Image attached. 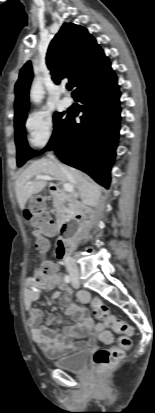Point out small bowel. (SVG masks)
<instances>
[{"label":"small bowel","instance_id":"obj_1","mask_svg":"<svg viewBox=\"0 0 155 413\" xmlns=\"http://www.w3.org/2000/svg\"><path fill=\"white\" fill-rule=\"evenodd\" d=\"M52 265L54 269L52 275H46L41 268H38L33 276L28 277L25 281V304L30 313L28 325L34 343L51 359H57L90 347L94 343L93 339L79 342L76 339L86 337L93 332L97 334L102 343L110 344L113 341V336L105 329V325L94 323L84 306L71 304L72 290L64 283L61 274L58 273V265ZM48 287L58 289L52 303L63 308L65 314L72 317V323L65 324L53 315L44 317L41 310L33 306L41 291ZM77 298L81 303H86L89 301L90 295L87 291H81L77 294ZM53 323L65 324V327L63 330L52 329L50 325Z\"/></svg>","mask_w":155,"mask_h":413}]
</instances>
